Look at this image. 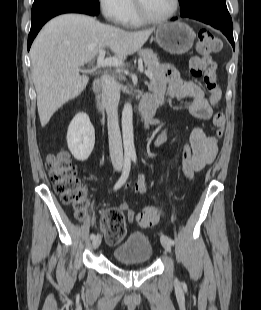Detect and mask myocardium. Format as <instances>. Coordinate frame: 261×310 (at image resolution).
Instances as JSON below:
<instances>
[{"mask_svg":"<svg viewBox=\"0 0 261 310\" xmlns=\"http://www.w3.org/2000/svg\"><path fill=\"white\" fill-rule=\"evenodd\" d=\"M133 3H134V8H135L137 17L142 23H146V24H159V23L167 22L171 20L173 17H175V15L178 13L180 9V0H174L173 9L169 14L163 17L154 18V17L149 16L145 12V10L143 9L141 5L140 0H133Z\"/></svg>","mask_w":261,"mask_h":310,"instance_id":"obj_1","label":"myocardium"}]
</instances>
